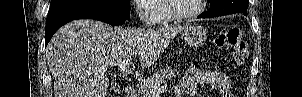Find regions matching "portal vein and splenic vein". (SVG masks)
I'll list each match as a JSON object with an SVG mask.
<instances>
[{
    "label": "portal vein and splenic vein",
    "instance_id": "1",
    "mask_svg": "<svg viewBox=\"0 0 302 97\" xmlns=\"http://www.w3.org/2000/svg\"><path fill=\"white\" fill-rule=\"evenodd\" d=\"M130 60H125L123 62H121L119 64L118 70H120L121 72L125 73V74H132L131 71H129L128 66H129ZM163 91V88L160 87L159 85H154L152 86V94H159Z\"/></svg>",
    "mask_w": 302,
    "mask_h": 97
}]
</instances>
